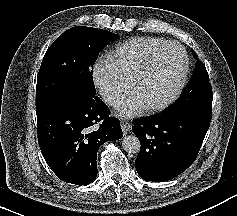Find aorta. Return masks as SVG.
Returning <instances> with one entry per match:
<instances>
[{
  "instance_id": "obj_1",
  "label": "aorta",
  "mask_w": 237,
  "mask_h": 216,
  "mask_svg": "<svg viewBox=\"0 0 237 216\" xmlns=\"http://www.w3.org/2000/svg\"><path fill=\"white\" fill-rule=\"evenodd\" d=\"M122 147L126 153L138 154L141 151V142L136 135H125L122 139Z\"/></svg>"
}]
</instances>
